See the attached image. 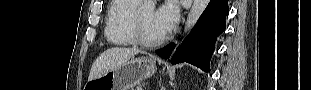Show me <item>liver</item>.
Wrapping results in <instances>:
<instances>
[{"label":"liver","instance_id":"6515ba94","mask_svg":"<svg viewBox=\"0 0 311 90\" xmlns=\"http://www.w3.org/2000/svg\"><path fill=\"white\" fill-rule=\"evenodd\" d=\"M138 53H142V51L137 48L113 47L107 49L94 61L88 81L97 79L108 71L118 68Z\"/></svg>","mask_w":311,"mask_h":90}]
</instances>
